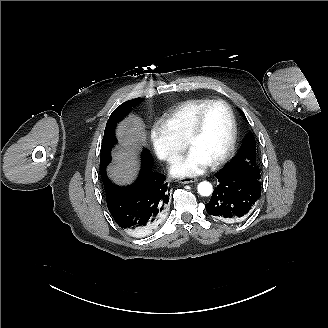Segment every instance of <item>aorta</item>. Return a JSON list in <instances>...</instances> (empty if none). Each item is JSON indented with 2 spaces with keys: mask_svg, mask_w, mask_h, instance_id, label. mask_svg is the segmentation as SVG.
Returning a JSON list of instances; mask_svg holds the SVG:
<instances>
[{
  "mask_svg": "<svg viewBox=\"0 0 328 328\" xmlns=\"http://www.w3.org/2000/svg\"><path fill=\"white\" fill-rule=\"evenodd\" d=\"M197 189L201 196H210L213 192L211 183L207 181L200 182Z\"/></svg>",
  "mask_w": 328,
  "mask_h": 328,
  "instance_id": "1",
  "label": "aorta"
}]
</instances>
